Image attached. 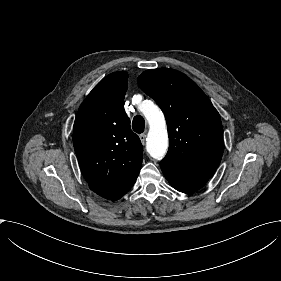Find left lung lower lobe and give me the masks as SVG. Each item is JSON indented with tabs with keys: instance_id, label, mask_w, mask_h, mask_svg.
<instances>
[{
	"instance_id": "left-lung-lower-lobe-1",
	"label": "left lung lower lobe",
	"mask_w": 281,
	"mask_h": 281,
	"mask_svg": "<svg viewBox=\"0 0 281 281\" xmlns=\"http://www.w3.org/2000/svg\"><path fill=\"white\" fill-rule=\"evenodd\" d=\"M161 169L168 182L178 191L192 193L202 188L216 169H193L162 160Z\"/></svg>"
}]
</instances>
